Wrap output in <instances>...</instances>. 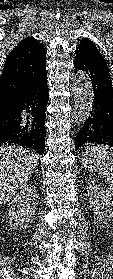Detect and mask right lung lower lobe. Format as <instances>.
Instances as JSON below:
<instances>
[{"instance_id":"obj_1","label":"right lung lower lobe","mask_w":113,"mask_h":279,"mask_svg":"<svg viewBox=\"0 0 113 279\" xmlns=\"http://www.w3.org/2000/svg\"><path fill=\"white\" fill-rule=\"evenodd\" d=\"M48 96L44 72L5 110L0 119V145L15 143L43 154Z\"/></svg>"}]
</instances>
